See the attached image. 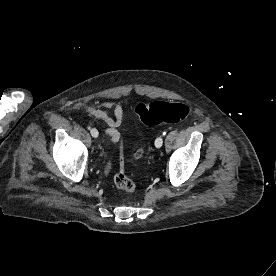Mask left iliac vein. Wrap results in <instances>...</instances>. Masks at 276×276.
Segmentation results:
<instances>
[{"label": "left iliac vein", "mask_w": 276, "mask_h": 276, "mask_svg": "<svg viewBox=\"0 0 276 276\" xmlns=\"http://www.w3.org/2000/svg\"><path fill=\"white\" fill-rule=\"evenodd\" d=\"M163 144V138L162 137H158L156 140H155V146L157 148H160Z\"/></svg>", "instance_id": "obj_1"}]
</instances>
